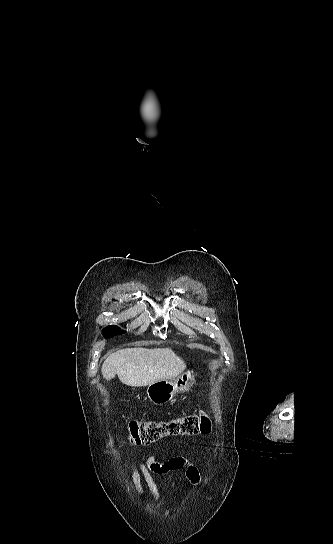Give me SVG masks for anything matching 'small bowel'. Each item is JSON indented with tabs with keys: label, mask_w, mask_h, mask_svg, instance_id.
<instances>
[{
	"label": "small bowel",
	"mask_w": 333,
	"mask_h": 544,
	"mask_svg": "<svg viewBox=\"0 0 333 544\" xmlns=\"http://www.w3.org/2000/svg\"><path fill=\"white\" fill-rule=\"evenodd\" d=\"M129 468L131 470V480L138 494L142 497L147 496V491L143 485L145 483L147 489L156 500L160 499V492L153 479V474L162 475L170 471L184 469L186 478L190 483L196 485L200 481L198 469L181 456L170 458L165 462H159L153 455H150L145 462L139 465L131 464Z\"/></svg>",
	"instance_id": "c3829d8e"
}]
</instances>
